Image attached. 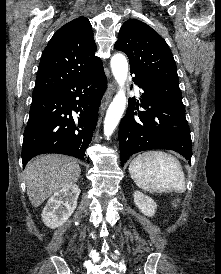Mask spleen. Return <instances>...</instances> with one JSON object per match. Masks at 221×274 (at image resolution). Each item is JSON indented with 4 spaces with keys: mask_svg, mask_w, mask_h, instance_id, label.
Returning a JSON list of instances; mask_svg holds the SVG:
<instances>
[{
    "mask_svg": "<svg viewBox=\"0 0 221 274\" xmlns=\"http://www.w3.org/2000/svg\"><path fill=\"white\" fill-rule=\"evenodd\" d=\"M135 184L151 193L186 191L185 176L179 161L162 151L139 154L129 165Z\"/></svg>",
    "mask_w": 221,
    "mask_h": 274,
    "instance_id": "3e777b00",
    "label": "spleen"
}]
</instances>
